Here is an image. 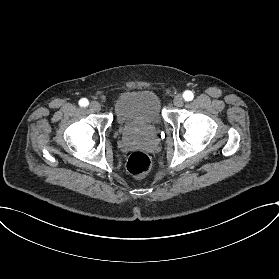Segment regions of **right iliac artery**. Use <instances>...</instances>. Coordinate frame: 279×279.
I'll return each instance as SVG.
<instances>
[{"instance_id": "right-iliac-artery-1", "label": "right iliac artery", "mask_w": 279, "mask_h": 279, "mask_svg": "<svg viewBox=\"0 0 279 279\" xmlns=\"http://www.w3.org/2000/svg\"><path fill=\"white\" fill-rule=\"evenodd\" d=\"M88 104H89V102H88V100H87L86 98H82V99L79 101V105H80L81 107H86V106H88Z\"/></svg>"}]
</instances>
